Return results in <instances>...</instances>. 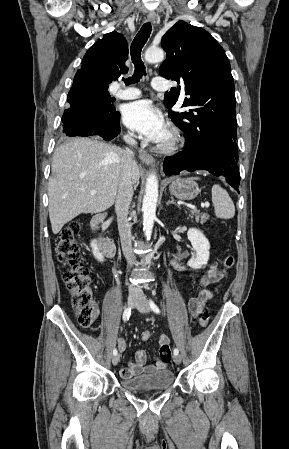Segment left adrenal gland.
Instances as JSON below:
<instances>
[{"label":"left adrenal gland","instance_id":"obj_1","mask_svg":"<svg viewBox=\"0 0 289 449\" xmlns=\"http://www.w3.org/2000/svg\"><path fill=\"white\" fill-rule=\"evenodd\" d=\"M166 204H167V205H169V204H174V205L178 206V205L176 204V202L174 201V198H173V197H171V200L168 201ZM178 207H179V206H178Z\"/></svg>","mask_w":289,"mask_h":449}]
</instances>
